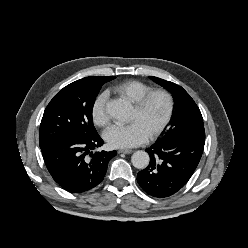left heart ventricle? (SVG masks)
Instances as JSON below:
<instances>
[{
	"label": "left heart ventricle",
	"instance_id": "obj_1",
	"mask_svg": "<svg viewBox=\"0 0 248 248\" xmlns=\"http://www.w3.org/2000/svg\"><path fill=\"white\" fill-rule=\"evenodd\" d=\"M166 113V101L162 96L151 98L144 110L139 111L135 107L131 121L141 122L150 134L162 121Z\"/></svg>",
	"mask_w": 248,
	"mask_h": 248
}]
</instances>
